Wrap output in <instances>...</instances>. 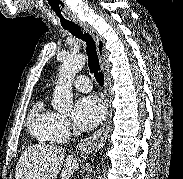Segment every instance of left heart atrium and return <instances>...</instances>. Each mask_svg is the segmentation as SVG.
Here are the masks:
<instances>
[{
    "label": "left heart atrium",
    "mask_w": 183,
    "mask_h": 179,
    "mask_svg": "<svg viewBox=\"0 0 183 179\" xmlns=\"http://www.w3.org/2000/svg\"><path fill=\"white\" fill-rule=\"evenodd\" d=\"M104 114V106L98 97L84 96L75 103L73 121L79 129L88 131L100 123Z\"/></svg>",
    "instance_id": "1"
}]
</instances>
